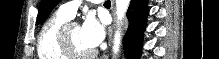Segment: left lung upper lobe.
Segmentation results:
<instances>
[{"instance_id": "left-lung-upper-lobe-1", "label": "left lung upper lobe", "mask_w": 219, "mask_h": 59, "mask_svg": "<svg viewBox=\"0 0 219 59\" xmlns=\"http://www.w3.org/2000/svg\"><path fill=\"white\" fill-rule=\"evenodd\" d=\"M60 1L61 0H41L37 24H40Z\"/></svg>"}]
</instances>
